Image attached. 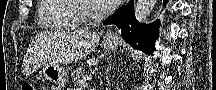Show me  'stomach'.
Wrapping results in <instances>:
<instances>
[{
	"label": "stomach",
	"instance_id": "obj_1",
	"mask_svg": "<svg viewBox=\"0 0 216 90\" xmlns=\"http://www.w3.org/2000/svg\"><path fill=\"white\" fill-rule=\"evenodd\" d=\"M118 40H103V46L108 51H114L119 47ZM40 75L43 76L50 83L59 87H64L68 81V70L62 66L50 64L46 65L40 71Z\"/></svg>",
	"mask_w": 216,
	"mask_h": 90
}]
</instances>
